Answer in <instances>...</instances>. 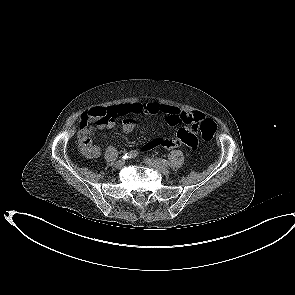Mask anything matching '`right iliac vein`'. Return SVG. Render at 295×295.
<instances>
[{
    "label": "right iliac vein",
    "mask_w": 295,
    "mask_h": 295,
    "mask_svg": "<svg viewBox=\"0 0 295 295\" xmlns=\"http://www.w3.org/2000/svg\"><path fill=\"white\" fill-rule=\"evenodd\" d=\"M125 165V160H119L115 163V167L120 169Z\"/></svg>",
    "instance_id": "1"
}]
</instances>
